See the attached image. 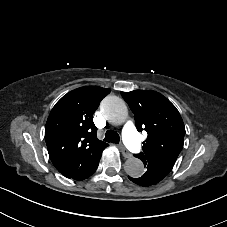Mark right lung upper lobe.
I'll list each match as a JSON object with an SVG mask.
<instances>
[{"label": "right lung upper lobe", "instance_id": "cb5924a9", "mask_svg": "<svg viewBox=\"0 0 227 227\" xmlns=\"http://www.w3.org/2000/svg\"><path fill=\"white\" fill-rule=\"evenodd\" d=\"M110 91L97 86L80 87L55 104L45 126L48 153L55 168L68 165L79 153L93 159L108 146L97 138L93 113Z\"/></svg>", "mask_w": 227, "mask_h": 227}]
</instances>
